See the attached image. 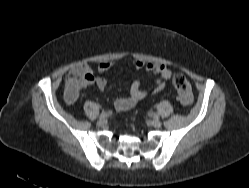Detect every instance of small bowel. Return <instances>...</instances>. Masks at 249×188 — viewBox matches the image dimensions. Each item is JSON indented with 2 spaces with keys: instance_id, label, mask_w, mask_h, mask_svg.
I'll return each instance as SVG.
<instances>
[{
  "instance_id": "obj_1",
  "label": "small bowel",
  "mask_w": 249,
  "mask_h": 188,
  "mask_svg": "<svg viewBox=\"0 0 249 188\" xmlns=\"http://www.w3.org/2000/svg\"><path fill=\"white\" fill-rule=\"evenodd\" d=\"M113 66L110 61H103L98 65V71L104 73ZM134 66L137 69L144 68L149 75L157 76L154 85L149 90L142 89L140 80H135L131 84L129 96L117 98L114 107L117 111H126L138 104L148 94H156L164 90L167 81L172 77L173 72L166 65L160 63H144L136 60ZM73 69L77 70V75L70 72V78L67 81L66 101L72 103L78 96L80 90L96 85L100 90H104L107 86V80L104 77H94L90 67L87 64H79Z\"/></svg>"
}]
</instances>
